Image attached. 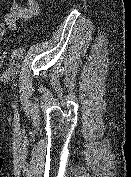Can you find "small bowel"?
Returning <instances> with one entry per match:
<instances>
[{
  "mask_svg": "<svg viewBox=\"0 0 131 177\" xmlns=\"http://www.w3.org/2000/svg\"><path fill=\"white\" fill-rule=\"evenodd\" d=\"M21 0H13L8 13L0 21V39L7 31H15L19 22L28 21L36 16L39 11L37 0H26L25 4Z\"/></svg>",
  "mask_w": 131,
  "mask_h": 177,
  "instance_id": "obj_1",
  "label": "small bowel"
}]
</instances>
